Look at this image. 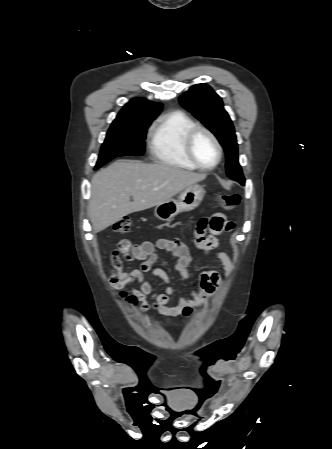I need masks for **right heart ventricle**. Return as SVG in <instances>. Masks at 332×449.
I'll return each mask as SVG.
<instances>
[{"mask_svg":"<svg viewBox=\"0 0 332 449\" xmlns=\"http://www.w3.org/2000/svg\"><path fill=\"white\" fill-rule=\"evenodd\" d=\"M196 125L183 111L165 114L156 123L150 138V152L160 163L183 169L194 170L184 151L186 133Z\"/></svg>","mask_w":332,"mask_h":449,"instance_id":"obj_1","label":"right heart ventricle"}]
</instances>
